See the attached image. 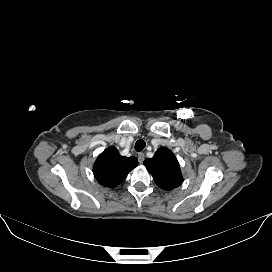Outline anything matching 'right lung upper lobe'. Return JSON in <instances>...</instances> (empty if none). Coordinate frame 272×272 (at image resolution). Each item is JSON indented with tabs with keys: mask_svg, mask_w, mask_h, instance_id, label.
I'll return each instance as SVG.
<instances>
[{
	"mask_svg": "<svg viewBox=\"0 0 272 272\" xmlns=\"http://www.w3.org/2000/svg\"><path fill=\"white\" fill-rule=\"evenodd\" d=\"M137 165L138 161L134 156L123 157L115 147L111 146L98 156L93 173L101 185L114 188L123 182Z\"/></svg>",
	"mask_w": 272,
	"mask_h": 272,
	"instance_id": "right-lung-upper-lobe-1",
	"label": "right lung upper lobe"
}]
</instances>
